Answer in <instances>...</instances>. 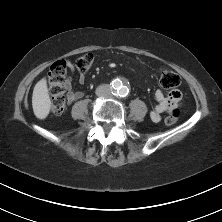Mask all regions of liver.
Returning a JSON list of instances; mask_svg holds the SVG:
<instances>
[{
    "label": "liver",
    "mask_w": 222,
    "mask_h": 222,
    "mask_svg": "<svg viewBox=\"0 0 222 222\" xmlns=\"http://www.w3.org/2000/svg\"><path fill=\"white\" fill-rule=\"evenodd\" d=\"M32 107L38 119H45L51 109V99L48 92L46 78L39 80L33 90Z\"/></svg>",
    "instance_id": "1"
}]
</instances>
